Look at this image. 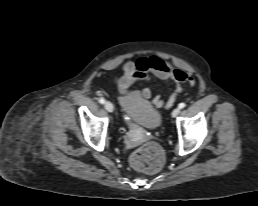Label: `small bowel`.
I'll list each match as a JSON object with an SVG mask.
<instances>
[{"instance_id":"small-bowel-1","label":"small bowel","mask_w":258,"mask_h":206,"mask_svg":"<svg viewBox=\"0 0 258 206\" xmlns=\"http://www.w3.org/2000/svg\"><path fill=\"white\" fill-rule=\"evenodd\" d=\"M149 75L171 82L174 88L173 93L166 101L159 95L152 99L154 106L157 108L162 106L171 107L177 96L182 92L184 84L194 82L191 74L175 68L165 60L151 56L141 57L136 61H126L122 66V73L116 77L115 83L119 92L125 94L130 86L147 81ZM142 95L144 98H150V87H145L142 90Z\"/></svg>"}]
</instances>
